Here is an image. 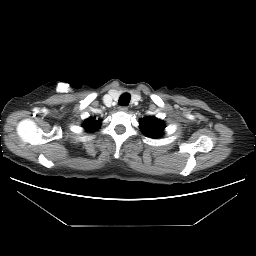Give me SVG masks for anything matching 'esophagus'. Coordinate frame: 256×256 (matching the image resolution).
I'll use <instances>...</instances> for the list:
<instances>
[{"label":"esophagus","instance_id":"obj_1","mask_svg":"<svg viewBox=\"0 0 256 256\" xmlns=\"http://www.w3.org/2000/svg\"><path fill=\"white\" fill-rule=\"evenodd\" d=\"M119 111H121V112H127V111H128V107H127V106H120V107H119Z\"/></svg>","mask_w":256,"mask_h":256}]
</instances>
